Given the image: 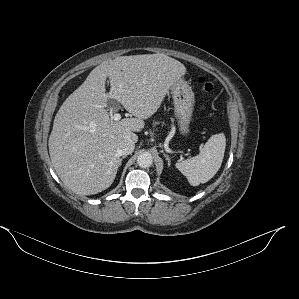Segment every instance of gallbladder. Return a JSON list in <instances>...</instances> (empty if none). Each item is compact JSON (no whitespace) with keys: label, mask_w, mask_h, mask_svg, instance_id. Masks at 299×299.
Here are the masks:
<instances>
[{"label":"gallbladder","mask_w":299,"mask_h":299,"mask_svg":"<svg viewBox=\"0 0 299 299\" xmlns=\"http://www.w3.org/2000/svg\"><path fill=\"white\" fill-rule=\"evenodd\" d=\"M107 103L109 107H112L115 110L119 108V104L115 100L109 99Z\"/></svg>","instance_id":"bac80fb5"}]
</instances>
